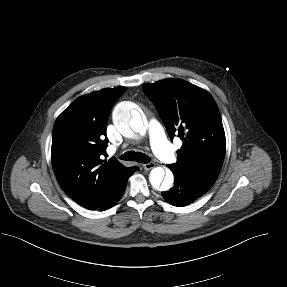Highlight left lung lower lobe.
Here are the masks:
<instances>
[{
	"label": "left lung lower lobe",
	"instance_id": "0a47b994",
	"mask_svg": "<svg viewBox=\"0 0 287 287\" xmlns=\"http://www.w3.org/2000/svg\"><path fill=\"white\" fill-rule=\"evenodd\" d=\"M174 177V186L161 193L163 198L174 206H187L207 192L192 184L183 175L174 174Z\"/></svg>",
	"mask_w": 287,
	"mask_h": 287
}]
</instances>
